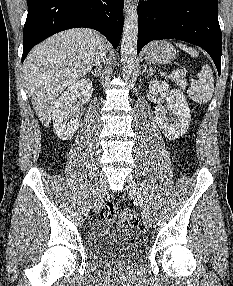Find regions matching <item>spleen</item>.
Listing matches in <instances>:
<instances>
[{
	"instance_id": "1",
	"label": "spleen",
	"mask_w": 233,
	"mask_h": 286,
	"mask_svg": "<svg viewBox=\"0 0 233 286\" xmlns=\"http://www.w3.org/2000/svg\"><path fill=\"white\" fill-rule=\"evenodd\" d=\"M176 46L187 52L191 57L199 56V53L195 49L185 44L176 43ZM197 77L198 80L188 88L187 93L192 101L198 104H205L211 100L214 93V77L210 66L204 65Z\"/></svg>"
}]
</instances>
